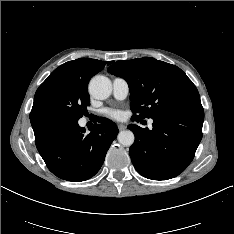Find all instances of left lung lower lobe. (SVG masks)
I'll use <instances>...</instances> for the list:
<instances>
[{"label":"left lung lower lobe","instance_id":"left-lung-lower-lobe-1","mask_svg":"<svg viewBox=\"0 0 234 234\" xmlns=\"http://www.w3.org/2000/svg\"><path fill=\"white\" fill-rule=\"evenodd\" d=\"M203 121V107L197 105L153 118L152 130L129 125L135 135L129 153L137 172L152 180L171 179L183 172L202 139Z\"/></svg>","mask_w":234,"mask_h":234}]
</instances>
